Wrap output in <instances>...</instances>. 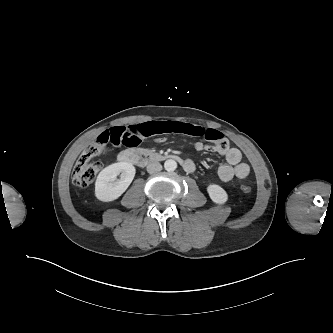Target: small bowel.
I'll list each match as a JSON object with an SVG mask.
<instances>
[{
  "mask_svg": "<svg viewBox=\"0 0 333 333\" xmlns=\"http://www.w3.org/2000/svg\"><path fill=\"white\" fill-rule=\"evenodd\" d=\"M170 133L204 137L208 143L196 141L194 148L197 151L217 153L225 158L226 163L218 168V176L222 181H230L233 178L244 179L249 175L250 167L247 163L242 162L240 150L231 147L225 136L216 129H205L180 121H149L129 126L113 127L102 132L98 139L115 146L134 148L147 137ZM156 141L161 143L163 138H157ZM185 161L187 163L186 170L193 172L195 170L194 161L191 159Z\"/></svg>",
  "mask_w": 333,
  "mask_h": 333,
  "instance_id": "obj_1",
  "label": "small bowel"
}]
</instances>
